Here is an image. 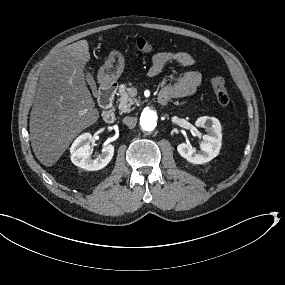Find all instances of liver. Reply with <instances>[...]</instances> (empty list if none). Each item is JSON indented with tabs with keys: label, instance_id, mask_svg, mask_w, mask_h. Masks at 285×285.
Segmentation results:
<instances>
[{
	"label": "liver",
	"instance_id": "obj_1",
	"mask_svg": "<svg viewBox=\"0 0 285 285\" xmlns=\"http://www.w3.org/2000/svg\"><path fill=\"white\" fill-rule=\"evenodd\" d=\"M89 43L79 40L49 57L30 114L32 150L45 167H53L73 140L100 117L86 83Z\"/></svg>",
	"mask_w": 285,
	"mask_h": 285
}]
</instances>
